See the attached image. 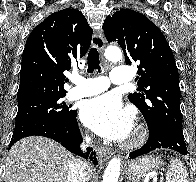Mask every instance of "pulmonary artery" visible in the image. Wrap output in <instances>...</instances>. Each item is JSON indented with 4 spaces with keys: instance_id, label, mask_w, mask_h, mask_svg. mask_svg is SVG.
Listing matches in <instances>:
<instances>
[{
    "instance_id": "1",
    "label": "pulmonary artery",
    "mask_w": 196,
    "mask_h": 182,
    "mask_svg": "<svg viewBox=\"0 0 196 182\" xmlns=\"http://www.w3.org/2000/svg\"><path fill=\"white\" fill-rule=\"evenodd\" d=\"M111 83L126 85L132 81V72L128 67H115L110 76ZM75 84L68 92L70 99H79L104 92L109 87V81L103 76L81 77L73 81Z\"/></svg>"
}]
</instances>
